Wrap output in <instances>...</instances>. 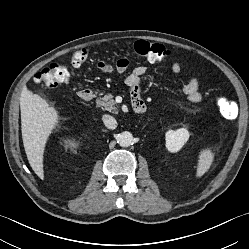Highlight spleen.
Wrapping results in <instances>:
<instances>
[{"instance_id":"1","label":"spleen","mask_w":249,"mask_h":249,"mask_svg":"<svg viewBox=\"0 0 249 249\" xmlns=\"http://www.w3.org/2000/svg\"><path fill=\"white\" fill-rule=\"evenodd\" d=\"M214 159V153L210 149H203L199 154L196 176L201 177L210 168Z\"/></svg>"}]
</instances>
